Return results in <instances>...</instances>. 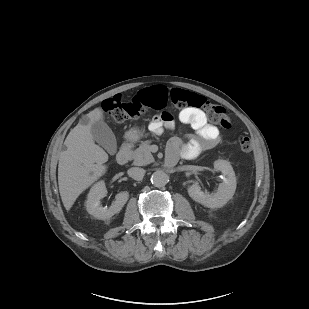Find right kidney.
Listing matches in <instances>:
<instances>
[{
	"label": "right kidney",
	"instance_id": "right-kidney-1",
	"mask_svg": "<svg viewBox=\"0 0 309 309\" xmlns=\"http://www.w3.org/2000/svg\"><path fill=\"white\" fill-rule=\"evenodd\" d=\"M107 195L104 181H99L92 186L86 201V210L89 214L100 220L110 219L116 213H119L122 207L129 199V193L123 191L115 196L113 204L107 208L100 205L101 199Z\"/></svg>",
	"mask_w": 309,
	"mask_h": 309
}]
</instances>
